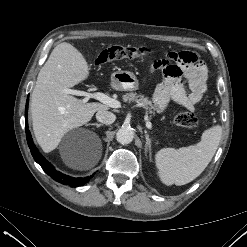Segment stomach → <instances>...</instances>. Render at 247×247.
<instances>
[{
  "label": "stomach",
  "instance_id": "stomach-1",
  "mask_svg": "<svg viewBox=\"0 0 247 247\" xmlns=\"http://www.w3.org/2000/svg\"><path fill=\"white\" fill-rule=\"evenodd\" d=\"M112 86L120 91H136L139 81L134 73L129 71H116L111 75Z\"/></svg>",
  "mask_w": 247,
  "mask_h": 247
}]
</instances>
